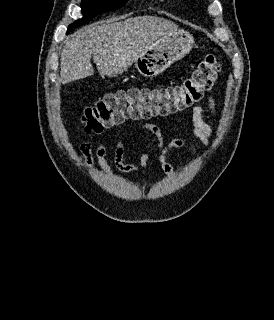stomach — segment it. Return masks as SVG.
Wrapping results in <instances>:
<instances>
[{
	"instance_id": "stomach-1",
	"label": "stomach",
	"mask_w": 274,
	"mask_h": 320,
	"mask_svg": "<svg viewBox=\"0 0 274 320\" xmlns=\"http://www.w3.org/2000/svg\"><path fill=\"white\" fill-rule=\"evenodd\" d=\"M194 38L184 30H173L150 46L143 56L136 58L134 64L141 76L155 78L169 68L173 62H178L191 52Z\"/></svg>"
}]
</instances>
